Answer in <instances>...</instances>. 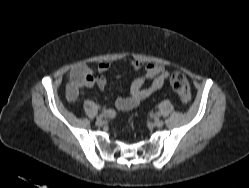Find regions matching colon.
I'll use <instances>...</instances> for the list:
<instances>
[{
  "instance_id": "colon-1",
  "label": "colon",
  "mask_w": 249,
  "mask_h": 188,
  "mask_svg": "<svg viewBox=\"0 0 249 188\" xmlns=\"http://www.w3.org/2000/svg\"><path fill=\"white\" fill-rule=\"evenodd\" d=\"M76 77L80 78L78 72H76ZM170 84L183 102L186 103L190 100V85L185 75L179 72L173 73L170 77Z\"/></svg>"
}]
</instances>
